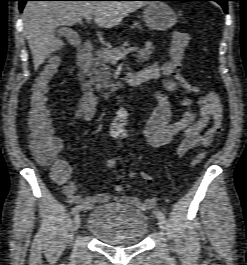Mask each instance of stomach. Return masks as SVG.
I'll list each match as a JSON object with an SVG mask.
<instances>
[{
  "label": "stomach",
  "instance_id": "stomach-1",
  "mask_svg": "<svg viewBox=\"0 0 247 265\" xmlns=\"http://www.w3.org/2000/svg\"><path fill=\"white\" fill-rule=\"evenodd\" d=\"M143 18L152 30L165 31L177 22L173 9L163 2H152L144 9Z\"/></svg>",
  "mask_w": 247,
  "mask_h": 265
}]
</instances>
